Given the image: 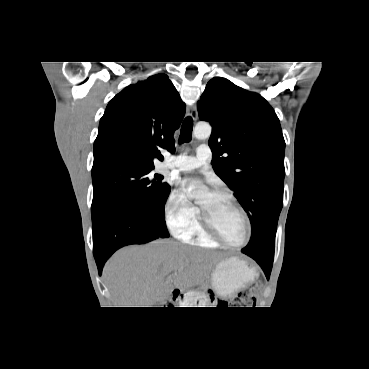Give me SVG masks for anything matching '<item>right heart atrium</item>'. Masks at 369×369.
<instances>
[{
    "label": "right heart atrium",
    "mask_w": 369,
    "mask_h": 369,
    "mask_svg": "<svg viewBox=\"0 0 369 369\" xmlns=\"http://www.w3.org/2000/svg\"><path fill=\"white\" fill-rule=\"evenodd\" d=\"M198 209L179 190H172L165 202L166 222L173 233L188 234L198 219Z\"/></svg>",
    "instance_id": "d8ad5b80"
}]
</instances>
